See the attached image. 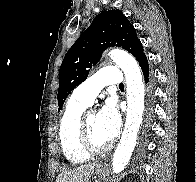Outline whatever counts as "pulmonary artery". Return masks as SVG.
I'll return each mask as SVG.
<instances>
[{"instance_id": "e3ab8cb5", "label": "pulmonary artery", "mask_w": 196, "mask_h": 182, "mask_svg": "<svg viewBox=\"0 0 196 182\" xmlns=\"http://www.w3.org/2000/svg\"><path fill=\"white\" fill-rule=\"evenodd\" d=\"M121 83H123V75L117 67H104L77 86L72 93V98L89 106L104 87Z\"/></svg>"}]
</instances>
